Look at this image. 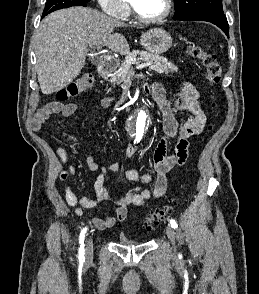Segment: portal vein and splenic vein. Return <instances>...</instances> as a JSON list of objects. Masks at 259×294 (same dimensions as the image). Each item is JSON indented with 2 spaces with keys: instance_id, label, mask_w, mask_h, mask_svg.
<instances>
[{
  "instance_id": "portal-vein-and-splenic-vein-1",
  "label": "portal vein and splenic vein",
  "mask_w": 259,
  "mask_h": 294,
  "mask_svg": "<svg viewBox=\"0 0 259 294\" xmlns=\"http://www.w3.org/2000/svg\"><path fill=\"white\" fill-rule=\"evenodd\" d=\"M108 59H109V58H108ZM149 65H150L149 63L139 64L136 68H137V69H142V68L147 67V66H149Z\"/></svg>"
}]
</instances>
